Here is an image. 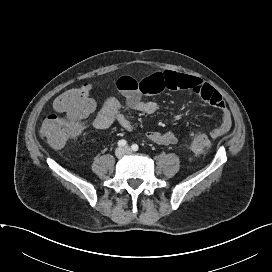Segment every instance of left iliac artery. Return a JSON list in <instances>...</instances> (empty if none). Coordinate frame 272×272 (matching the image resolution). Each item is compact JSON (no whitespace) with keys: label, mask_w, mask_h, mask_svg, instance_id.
Here are the masks:
<instances>
[{"label":"left iliac artery","mask_w":272,"mask_h":272,"mask_svg":"<svg viewBox=\"0 0 272 272\" xmlns=\"http://www.w3.org/2000/svg\"><path fill=\"white\" fill-rule=\"evenodd\" d=\"M131 148H132L133 151H137V150L139 149V147H138L137 144H133V145L131 146Z\"/></svg>","instance_id":"obj_1"}]
</instances>
